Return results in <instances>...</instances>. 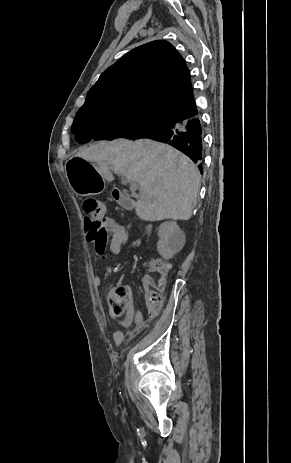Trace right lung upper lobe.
<instances>
[{
	"label": "right lung upper lobe",
	"mask_w": 291,
	"mask_h": 463,
	"mask_svg": "<svg viewBox=\"0 0 291 463\" xmlns=\"http://www.w3.org/2000/svg\"><path fill=\"white\" fill-rule=\"evenodd\" d=\"M105 106L140 108L184 120L198 115L185 60L162 40L131 50L107 68L80 109Z\"/></svg>",
	"instance_id": "obj_1"
}]
</instances>
